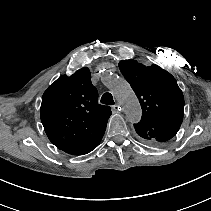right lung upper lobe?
<instances>
[{
  "mask_svg": "<svg viewBox=\"0 0 211 211\" xmlns=\"http://www.w3.org/2000/svg\"><path fill=\"white\" fill-rule=\"evenodd\" d=\"M109 106L98 103L90 71L84 67L58 78L43 94L41 122L49 140L60 150L96 139L105 132Z\"/></svg>",
  "mask_w": 211,
  "mask_h": 211,
  "instance_id": "obj_1",
  "label": "right lung upper lobe"
}]
</instances>
